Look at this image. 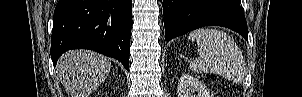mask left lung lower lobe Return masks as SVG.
I'll return each instance as SVG.
<instances>
[{
	"mask_svg": "<svg viewBox=\"0 0 302 97\" xmlns=\"http://www.w3.org/2000/svg\"><path fill=\"white\" fill-rule=\"evenodd\" d=\"M163 14L166 41L204 26L227 27L248 39L239 0H164Z\"/></svg>",
	"mask_w": 302,
	"mask_h": 97,
	"instance_id": "obj_1",
	"label": "left lung lower lobe"
}]
</instances>
